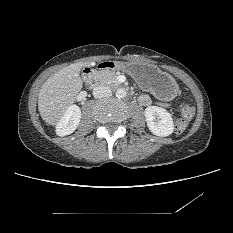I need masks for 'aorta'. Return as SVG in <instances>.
I'll return each mask as SVG.
<instances>
[{"mask_svg": "<svg viewBox=\"0 0 233 233\" xmlns=\"http://www.w3.org/2000/svg\"><path fill=\"white\" fill-rule=\"evenodd\" d=\"M126 95H127V92H126V90H125L124 88H119V89H117V91H116V96H117L118 98H125Z\"/></svg>", "mask_w": 233, "mask_h": 233, "instance_id": "obj_1", "label": "aorta"}]
</instances>
